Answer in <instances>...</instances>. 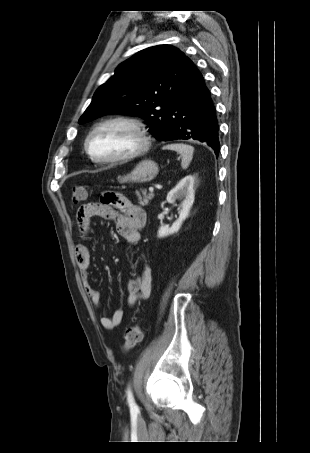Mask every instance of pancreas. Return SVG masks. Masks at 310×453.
<instances>
[{
    "label": "pancreas",
    "mask_w": 310,
    "mask_h": 453,
    "mask_svg": "<svg viewBox=\"0 0 310 453\" xmlns=\"http://www.w3.org/2000/svg\"><path fill=\"white\" fill-rule=\"evenodd\" d=\"M141 192L142 195L140 193H137L138 203L141 206H147L149 202L154 198V194L153 193L147 194L146 190H142Z\"/></svg>",
    "instance_id": "obj_1"
}]
</instances>
